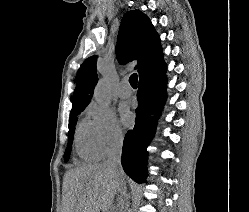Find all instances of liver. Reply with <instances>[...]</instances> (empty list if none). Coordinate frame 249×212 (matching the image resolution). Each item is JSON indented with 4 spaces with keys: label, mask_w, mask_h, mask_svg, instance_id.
Here are the masks:
<instances>
[{
    "label": "liver",
    "mask_w": 249,
    "mask_h": 212,
    "mask_svg": "<svg viewBox=\"0 0 249 212\" xmlns=\"http://www.w3.org/2000/svg\"><path fill=\"white\" fill-rule=\"evenodd\" d=\"M104 164L80 166L66 172L64 178L66 212H110L119 190L117 178L124 172Z\"/></svg>",
    "instance_id": "1"
}]
</instances>
